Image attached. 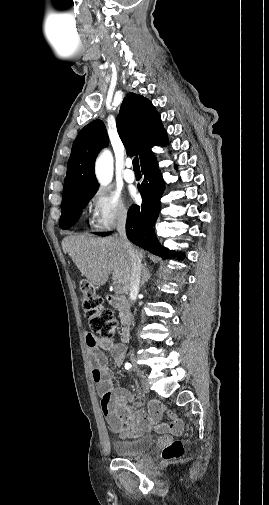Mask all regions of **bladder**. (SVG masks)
<instances>
[{"label": "bladder", "mask_w": 269, "mask_h": 505, "mask_svg": "<svg viewBox=\"0 0 269 505\" xmlns=\"http://www.w3.org/2000/svg\"><path fill=\"white\" fill-rule=\"evenodd\" d=\"M154 443L155 439L146 435L131 441H114L112 445L118 456L135 458L151 449Z\"/></svg>", "instance_id": "31cf9c89"}]
</instances>
